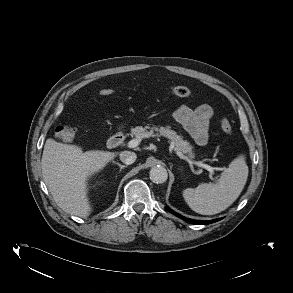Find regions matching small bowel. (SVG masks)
Returning <instances> with one entry per match:
<instances>
[{"mask_svg": "<svg viewBox=\"0 0 293 293\" xmlns=\"http://www.w3.org/2000/svg\"><path fill=\"white\" fill-rule=\"evenodd\" d=\"M213 109L208 104L196 108L182 105L172 114V122L181 126L196 144L203 146L208 142V128Z\"/></svg>", "mask_w": 293, "mask_h": 293, "instance_id": "c3829d8e", "label": "small bowel"}]
</instances>
